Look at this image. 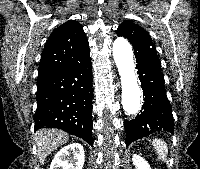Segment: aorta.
<instances>
[{"mask_svg":"<svg viewBox=\"0 0 200 169\" xmlns=\"http://www.w3.org/2000/svg\"><path fill=\"white\" fill-rule=\"evenodd\" d=\"M113 56L121 78L123 109L128 115L137 114L141 91L135 74L132 46L125 38L119 37L114 41Z\"/></svg>","mask_w":200,"mask_h":169,"instance_id":"762f6f07","label":"aorta"}]
</instances>
